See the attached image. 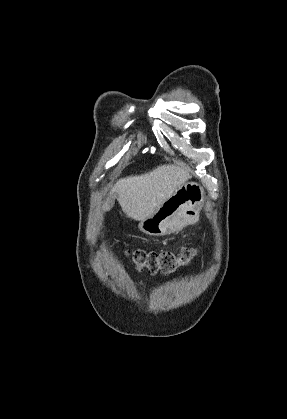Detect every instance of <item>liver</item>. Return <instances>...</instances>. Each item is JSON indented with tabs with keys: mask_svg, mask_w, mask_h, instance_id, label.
<instances>
[{
	"mask_svg": "<svg viewBox=\"0 0 287 419\" xmlns=\"http://www.w3.org/2000/svg\"><path fill=\"white\" fill-rule=\"evenodd\" d=\"M190 178L187 168L161 165L151 172L120 179L112 187L127 217L141 221L153 215ZM114 201L109 200L104 210L109 211Z\"/></svg>",
	"mask_w": 287,
	"mask_h": 419,
	"instance_id": "obj_1",
	"label": "liver"
}]
</instances>
